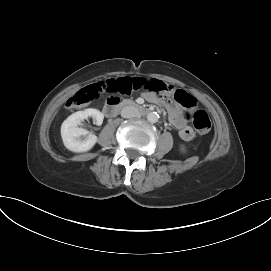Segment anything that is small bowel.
I'll use <instances>...</instances> for the list:
<instances>
[{"label": "small bowel", "instance_id": "1", "mask_svg": "<svg viewBox=\"0 0 271 271\" xmlns=\"http://www.w3.org/2000/svg\"><path fill=\"white\" fill-rule=\"evenodd\" d=\"M141 89L147 91L144 98L149 102L163 103V98L173 93L171 86L167 85L166 80L161 76L143 77ZM161 95V96H160ZM166 108L169 112L170 122L178 130L179 137L184 141H191L195 134L190 126L187 125L179 106L170 100L165 101Z\"/></svg>", "mask_w": 271, "mask_h": 271}]
</instances>
